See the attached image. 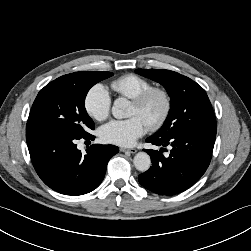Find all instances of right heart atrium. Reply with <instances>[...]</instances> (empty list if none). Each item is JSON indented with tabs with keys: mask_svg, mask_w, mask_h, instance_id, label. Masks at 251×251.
Returning a JSON list of instances; mask_svg holds the SVG:
<instances>
[{
	"mask_svg": "<svg viewBox=\"0 0 251 251\" xmlns=\"http://www.w3.org/2000/svg\"><path fill=\"white\" fill-rule=\"evenodd\" d=\"M84 107L91 118L105 120L111 109V97L107 89L101 84L92 86L86 93Z\"/></svg>",
	"mask_w": 251,
	"mask_h": 251,
	"instance_id": "right-heart-atrium-1",
	"label": "right heart atrium"
}]
</instances>
